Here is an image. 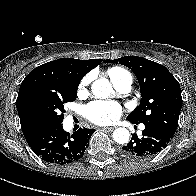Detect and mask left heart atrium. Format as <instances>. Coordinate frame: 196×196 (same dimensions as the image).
<instances>
[{
    "label": "left heart atrium",
    "instance_id": "obj_1",
    "mask_svg": "<svg viewBox=\"0 0 196 196\" xmlns=\"http://www.w3.org/2000/svg\"><path fill=\"white\" fill-rule=\"evenodd\" d=\"M122 108L115 101H93L85 106L84 115L91 122L108 125L115 122L121 115Z\"/></svg>",
    "mask_w": 196,
    "mask_h": 196
}]
</instances>
